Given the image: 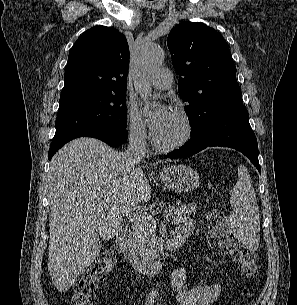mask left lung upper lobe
<instances>
[{
  "mask_svg": "<svg viewBox=\"0 0 297 305\" xmlns=\"http://www.w3.org/2000/svg\"><path fill=\"white\" fill-rule=\"evenodd\" d=\"M172 63L182 76L178 92L196 135L204 124L228 108L243 105L241 89L225 39L203 23L185 22L169 33Z\"/></svg>",
  "mask_w": 297,
  "mask_h": 305,
  "instance_id": "1",
  "label": "left lung upper lobe"
}]
</instances>
